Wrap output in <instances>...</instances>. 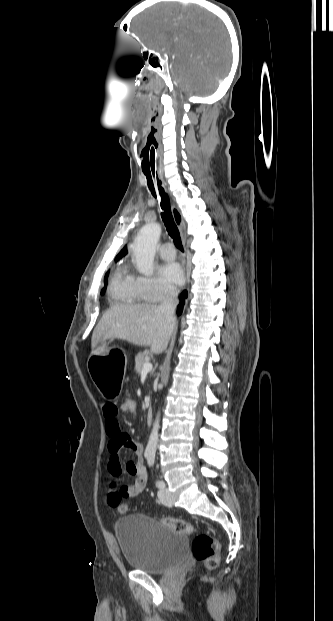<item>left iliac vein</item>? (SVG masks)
<instances>
[{
  "label": "left iliac vein",
  "mask_w": 333,
  "mask_h": 621,
  "mask_svg": "<svg viewBox=\"0 0 333 621\" xmlns=\"http://www.w3.org/2000/svg\"><path fill=\"white\" fill-rule=\"evenodd\" d=\"M158 497L163 505L168 507L173 506V498L171 497L168 489L165 486L163 488H160L158 492Z\"/></svg>",
  "instance_id": "1"
}]
</instances>
